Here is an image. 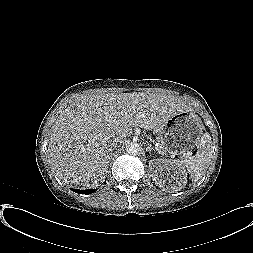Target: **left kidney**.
Wrapping results in <instances>:
<instances>
[{
    "label": "left kidney",
    "instance_id": "5707ae66",
    "mask_svg": "<svg viewBox=\"0 0 253 253\" xmlns=\"http://www.w3.org/2000/svg\"><path fill=\"white\" fill-rule=\"evenodd\" d=\"M153 162L152 177L159 187L166 190L180 191L186 185L187 174L184 168L166 159H156ZM164 170L168 171L169 178L168 176L167 178L164 177Z\"/></svg>",
    "mask_w": 253,
    "mask_h": 253
}]
</instances>
